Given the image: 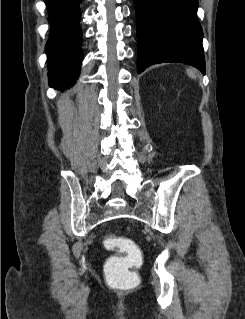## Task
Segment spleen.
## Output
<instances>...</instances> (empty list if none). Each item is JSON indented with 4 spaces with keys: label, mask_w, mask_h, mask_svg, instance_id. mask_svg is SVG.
<instances>
[{
    "label": "spleen",
    "mask_w": 245,
    "mask_h": 319,
    "mask_svg": "<svg viewBox=\"0 0 245 319\" xmlns=\"http://www.w3.org/2000/svg\"><path fill=\"white\" fill-rule=\"evenodd\" d=\"M186 71H187V74H188L189 77H191V78H193V79H196L197 76H196L194 70H192V69H187Z\"/></svg>",
    "instance_id": "1"
}]
</instances>
